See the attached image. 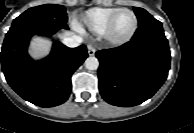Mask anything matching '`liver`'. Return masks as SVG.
<instances>
[{"label":"liver","instance_id":"1","mask_svg":"<svg viewBox=\"0 0 194 133\" xmlns=\"http://www.w3.org/2000/svg\"><path fill=\"white\" fill-rule=\"evenodd\" d=\"M72 35V32L63 31L59 35L60 38ZM51 42L41 37H35L31 42L30 53L34 58H42L49 53Z\"/></svg>","mask_w":194,"mask_h":133}]
</instances>
